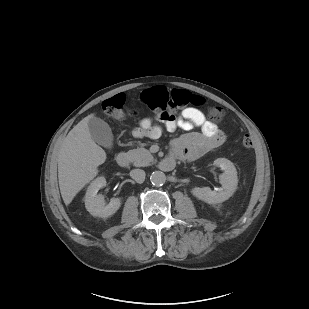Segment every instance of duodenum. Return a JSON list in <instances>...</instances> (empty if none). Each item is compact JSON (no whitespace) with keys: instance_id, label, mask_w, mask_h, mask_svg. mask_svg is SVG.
Segmentation results:
<instances>
[{"instance_id":"duodenum-1","label":"duodenum","mask_w":309,"mask_h":309,"mask_svg":"<svg viewBox=\"0 0 309 309\" xmlns=\"http://www.w3.org/2000/svg\"><path fill=\"white\" fill-rule=\"evenodd\" d=\"M116 162L121 167H128L129 164H130V158H129L127 153L120 152L116 157ZM174 166H175L174 159L166 158V159L162 160L161 163H160V167L164 171H170L174 168Z\"/></svg>"}]
</instances>
